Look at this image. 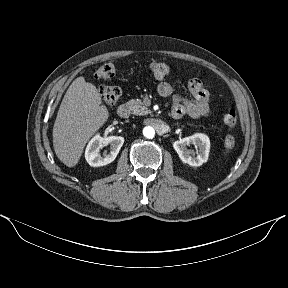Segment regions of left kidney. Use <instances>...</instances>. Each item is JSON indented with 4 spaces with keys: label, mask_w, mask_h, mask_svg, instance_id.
<instances>
[{
    "label": "left kidney",
    "mask_w": 288,
    "mask_h": 288,
    "mask_svg": "<svg viewBox=\"0 0 288 288\" xmlns=\"http://www.w3.org/2000/svg\"><path fill=\"white\" fill-rule=\"evenodd\" d=\"M194 145L196 147L197 155L193 150L187 149V146ZM175 151L178 153L180 159L190 166H201L207 162L210 151V140L207 135L197 133L189 137H185L173 143Z\"/></svg>",
    "instance_id": "obj_1"
}]
</instances>
